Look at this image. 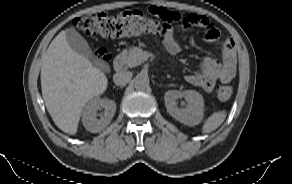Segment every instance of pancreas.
I'll use <instances>...</instances> for the list:
<instances>
[{"mask_svg": "<svg viewBox=\"0 0 292 184\" xmlns=\"http://www.w3.org/2000/svg\"><path fill=\"white\" fill-rule=\"evenodd\" d=\"M143 50L138 47L130 48L129 50H124L120 54V58L125 65V67H136L143 63L144 57H143Z\"/></svg>", "mask_w": 292, "mask_h": 184, "instance_id": "obj_1", "label": "pancreas"}]
</instances>
